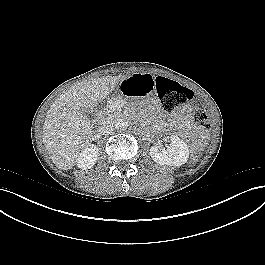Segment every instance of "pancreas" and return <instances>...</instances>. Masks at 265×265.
I'll return each instance as SVG.
<instances>
[{
  "label": "pancreas",
  "instance_id": "cf45deb5",
  "mask_svg": "<svg viewBox=\"0 0 265 265\" xmlns=\"http://www.w3.org/2000/svg\"><path fill=\"white\" fill-rule=\"evenodd\" d=\"M121 97H114L109 101L108 109L105 113H107L110 117H120L122 115V109L117 105L118 101H121Z\"/></svg>",
  "mask_w": 265,
  "mask_h": 265
}]
</instances>
